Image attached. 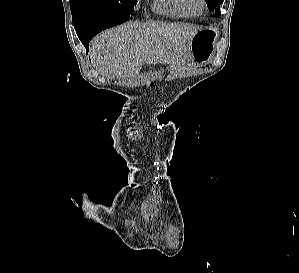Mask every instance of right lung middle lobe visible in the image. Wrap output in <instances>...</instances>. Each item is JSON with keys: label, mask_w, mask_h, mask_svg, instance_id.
I'll return each mask as SVG.
<instances>
[{"label": "right lung middle lobe", "mask_w": 299, "mask_h": 273, "mask_svg": "<svg viewBox=\"0 0 299 273\" xmlns=\"http://www.w3.org/2000/svg\"><path fill=\"white\" fill-rule=\"evenodd\" d=\"M138 0H70L74 25L130 15Z\"/></svg>", "instance_id": "dd1d6c3e"}]
</instances>
